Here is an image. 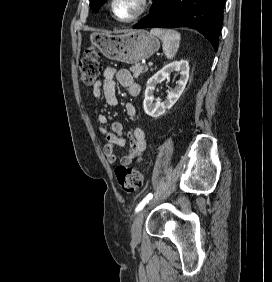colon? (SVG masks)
I'll return each instance as SVG.
<instances>
[{
    "label": "colon",
    "instance_id": "5ec220e1",
    "mask_svg": "<svg viewBox=\"0 0 272 282\" xmlns=\"http://www.w3.org/2000/svg\"><path fill=\"white\" fill-rule=\"evenodd\" d=\"M79 66L83 84L87 87L94 86L100 74V53L95 46L85 50ZM115 174L122 191L125 193H132L143 184V175L137 169H130L121 165L115 169Z\"/></svg>",
    "mask_w": 272,
    "mask_h": 282
}]
</instances>
